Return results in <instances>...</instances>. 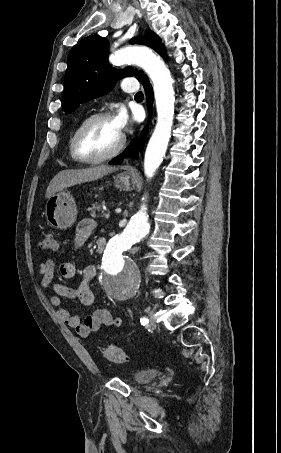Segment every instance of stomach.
I'll use <instances>...</instances> for the list:
<instances>
[{"mask_svg":"<svg viewBox=\"0 0 281 453\" xmlns=\"http://www.w3.org/2000/svg\"><path fill=\"white\" fill-rule=\"evenodd\" d=\"M132 172H120L115 178V186L123 188V190H131L133 188ZM45 216L48 224L52 229L65 231L68 227H72L77 218L76 202L71 192L66 190H58L48 198L45 204Z\"/></svg>","mask_w":281,"mask_h":453,"instance_id":"0dacf381","label":"stomach"}]
</instances>
